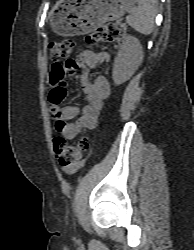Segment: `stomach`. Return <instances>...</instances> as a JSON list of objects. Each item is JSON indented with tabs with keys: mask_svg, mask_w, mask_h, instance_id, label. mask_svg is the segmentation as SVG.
Instances as JSON below:
<instances>
[{
	"mask_svg": "<svg viewBox=\"0 0 194 250\" xmlns=\"http://www.w3.org/2000/svg\"><path fill=\"white\" fill-rule=\"evenodd\" d=\"M137 0H59L50 25L62 36L83 35L105 22L119 19Z\"/></svg>",
	"mask_w": 194,
	"mask_h": 250,
	"instance_id": "obj_1",
	"label": "stomach"
}]
</instances>
